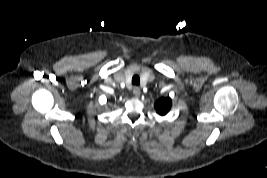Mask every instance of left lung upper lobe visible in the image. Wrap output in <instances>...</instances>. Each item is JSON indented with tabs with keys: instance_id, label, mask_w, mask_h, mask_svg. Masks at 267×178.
Instances as JSON below:
<instances>
[{
	"instance_id": "1",
	"label": "left lung upper lobe",
	"mask_w": 267,
	"mask_h": 178,
	"mask_svg": "<svg viewBox=\"0 0 267 178\" xmlns=\"http://www.w3.org/2000/svg\"><path fill=\"white\" fill-rule=\"evenodd\" d=\"M171 105H172V102L169 97L161 98L155 103V109L158 114L165 115L170 110Z\"/></svg>"
}]
</instances>
